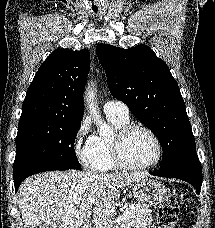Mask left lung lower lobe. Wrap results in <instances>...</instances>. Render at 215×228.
<instances>
[{"instance_id":"left-lung-lower-lobe-1","label":"left lung lower lobe","mask_w":215,"mask_h":228,"mask_svg":"<svg viewBox=\"0 0 215 228\" xmlns=\"http://www.w3.org/2000/svg\"><path fill=\"white\" fill-rule=\"evenodd\" d=\"M150 174L184 180L194 186L198 194L200 193L202 169L196 152L189 153L164 168L150 172Z\"/></svg>"}]
</instances>
